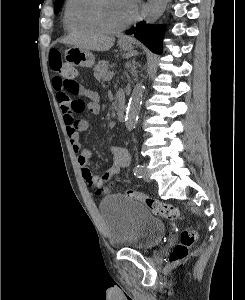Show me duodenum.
<instances>
[{
    "label": "duodenum",
    "mask_w": 245,
    "mask_h": 300,
    "mask_svg": "<svg viewBox=\"0 0 245 300\" xmlns=\"http://www.w3.org/2000/svg\"><path fill=\"white\" fill-rule=\"evenodd\" d=\"M116 115L118 121H123L125 116V101L121 94H118L117 96Z\"/></svg>",
    "instance_id": "410a0bca"
}]
</instances>
